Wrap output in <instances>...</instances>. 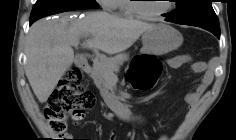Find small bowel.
<instances>
[{"label":"small bowel","instance_id":"1","mask_svg":"<svg viewBox=\"0 0 236 140\" xmlns=\"http://www.w3.org/2000/svg\"><path fill=\"white\" fill-rule=\"evenodd\" d=\"M167 64L171 68H179L185 64H191L193 71L203 73V76L197 85L196 89L189 92L185 97V102L189 111H193L197 106L201 96L206 91L213 79L211 71L207 70L206 63L203 61H194L188 54L177 55L167 60ZM142 121V120H139ZM158 140H168L166 136H161Z\"/></svg>","mask_w":236,"mask_h":140}]
</instances>
